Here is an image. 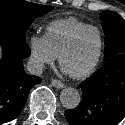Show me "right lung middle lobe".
<instances>
[{
  "instance_id": "1",
  "label": "right lung middle lobe",
  "mask_w": 125,
  "mask_h": 125,
  "mask_svg": "<svg viewBox=\"0 0 125 125\" xmlns=\"http://www.w3.org/2000/svg\"><path fill=\"white\" fill-rule=\"evenodd\" d=\"M53 9V6L24 0H0V34L25 41L31 23Z\"/></svg>"
}]
</instances>
